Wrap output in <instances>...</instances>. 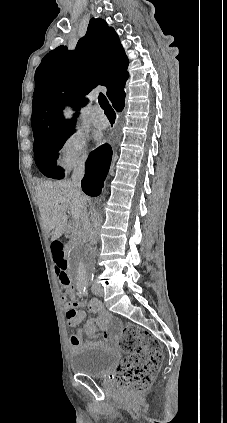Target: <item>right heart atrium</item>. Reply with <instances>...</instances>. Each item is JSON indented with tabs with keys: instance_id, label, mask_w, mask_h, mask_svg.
<instances>
[{
	"instance_id": "d8ad5b80",
	"label": "right heart atrium",
	"mask_w": 227,
	"mask_h": 423,
	"mask_svg": "<svg viewBox=\"0 0 227 423\" xmlns=\"http://www.w3.org/2000/svg\"><path fill=\"white\" fill-rule=\"evenodd\" d=\"M90 157L88 139L79 132H71L62 140L57 156L56 164L64 172L83 168Z\"/></svg>"
}]
</instances>
